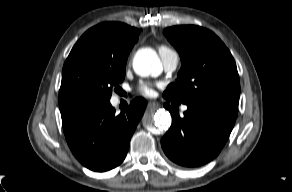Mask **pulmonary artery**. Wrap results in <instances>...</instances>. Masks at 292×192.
<instances>
[{
  "instance_id": "1",
  "label": "pulmonary artery",
  "mask_w": 292,
  "mask_h": 192,
  "mask_svg": "<svg viewBox=\"0 0 292 192\" xmlns=\"http://www.w3.org/2000/svg\"><path fill=\"white\" fill-rule=\"evenodd\" d=\"M160 56H161L163 66L166 71L170 72V71L175 70L178 64V55L175 51L167 50V51L161 52ZM182 110L186 111L187 106L186 105L182 106Z\"/></svg>"
}]
</instances>
